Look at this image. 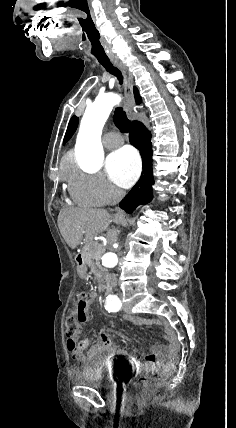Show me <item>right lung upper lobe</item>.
<instances>
[{"label":"right lung upper lobe","mask_w":236,"mask_h":428,"mask_svg":"<svg viewBox=\"0 0 236 428\" xmlns=\"http://www.w3.org/2000/svg\"><path fill=\"white\" fill-rule=\"evenodd\" d=\"M134 95H135L136 102L140 103L141 102V97H140L139 92H138V90H137L136 87H134Z\"/></svg>","instance_id":"right-lung-upper-lobe-1"}]
</instances>
